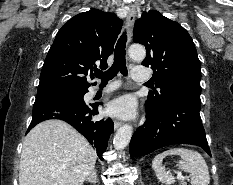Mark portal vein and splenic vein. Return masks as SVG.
I'll use <instances>...</instances> for the list:
<instances>
[{
	"instance_id": "1",
	"label": "portal vein and splenic vein",
	"mask_w": 233,
	"mask_h": 185,
	"mask_svg": "<svg viewBox=\"0 0 233 185\" xmlns=\"http://www.w3.org/2000/svg\"><path fill=\"white\" fill-rule=\"evenodd\" d=\"M176 173H177V178H178V179L184 178V176L181 174V172H176Z\"/></svg>"
}]
</instances>
